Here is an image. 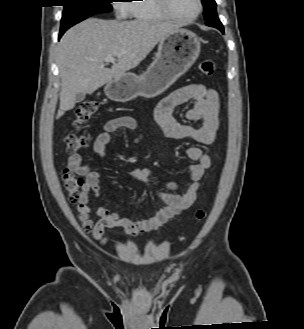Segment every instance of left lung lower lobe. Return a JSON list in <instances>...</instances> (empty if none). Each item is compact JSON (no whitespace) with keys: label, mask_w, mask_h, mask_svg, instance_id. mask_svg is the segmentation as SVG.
I'll return each instance as SVG.
<instances>
[{"label":"left lung lower lobe","mask_w":304,"mask_h":329,"mask_svg":"<svg viewBox=\"0 0 304 329\" xmlns=\"http://www.w3.org/2000/svg\"><path fill=\"white\" fill-rule=\"evenodd\" d=\"M206 25L215 27V28L219 29L222 33H224L223 25L220 22L216 12L213 13L210 16V18L206 21Z\"/></svg>","instance_id":"1"}]
</instances>
